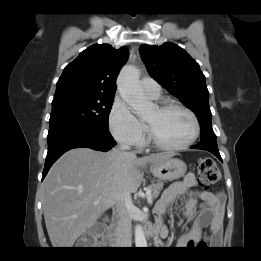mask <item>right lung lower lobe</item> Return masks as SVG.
<instances>
[{"label":"right lung lower lobe","instance_id":"right-lung-lower-lobe-1","mask_svg":"<svg viewBox=\"0 0 261 261\" xmlns=\"http://www.w3.org/2000/svg\"><path fill=\"white\" fill-rule=\"evenodd\" d=\"M47 140L48 153L42 180L53 163L72 148L87 147L106 152L116 145L109 130L90 125H67L49 129Z\"/></svg>","mask_w":261,"mask_h":261}]
</instances>
